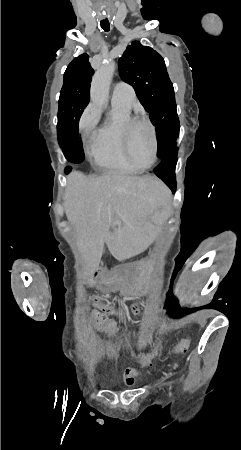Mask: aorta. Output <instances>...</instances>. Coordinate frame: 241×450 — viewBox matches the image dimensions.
I'll list each match as a JSON object with an SVG mask.
<instances>
[{
  "label": "aorta",
  "instance_id": "obj_1",
  "mask_svg": "<svg viewBox=\"0 0 241 450\" xmlns=\"http://www.w3.org/2000/svg\"><path fill=\"white\" fill-rule=\"evenodd\" d=\"M116 64L113 61L103 64L94 74L91 82V101L99 108L106 107L110 83Z\"/></svg>",
  "mask_w": 241,
  "mask_h": 450
}]
</instances>
